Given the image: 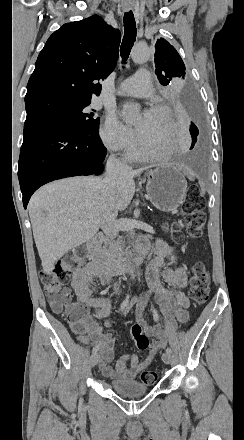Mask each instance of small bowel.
<instances>
[{"label":"small bowel","instance_id":"1","mask_svg":"<svg viewBox=\"0 0 244 440\" xmlns=\"http://www.w3.org/2000/svg\"><path fill=\"white\" fill-rule=\"evenodd\" d=\"M145 243V242H144ZM175 252V248L164 240H157L156 257L148 265L145 273V285L147 290L137 299L140 306L147 297L152 296L156 303L161 306L164 315L173 314L180 323H186L189 319L187 309L190 301L184 289L187 286V276L185 270L180 266H168L167 259ZM111 275L104 272L96 263L90 262L78 268L72 276L71 287L76 296V304L88 306L93 312L89 315L91 326L87 327L88 337L77 338L83 344L98 345L100 347V358L97 361L101 373L113 381H130L136 378L145 370L161 352L167 344V335L162 325L150 326L138 314L137 322L144 323L143 333H149L150 348H139L147 350L146 357L142 360L137 355H122L114 365V336L110 331L111 323L105 326L96 323V319H101L110 313L112 297L104 296L95 298L92 296V286L94 281L105 286L110 283ZM162 280L167 284L165 286Z\"/></svg>","mask_w":244,"mask_h":440}]
</instances>
